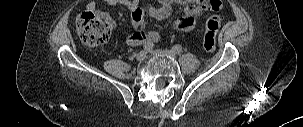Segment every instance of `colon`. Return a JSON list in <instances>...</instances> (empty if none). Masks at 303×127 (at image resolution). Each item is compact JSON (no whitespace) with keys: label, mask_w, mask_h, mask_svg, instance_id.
<instances>
[{"label":"colon","mask_w":303,"mask_h":127,"mask_svg":"<svg viewBox=\"0 0 303 127\" xmlns=\"http://www.w3.org/2000/svg\"><path fill=\"white\" fill-rule=\"evenodd\" d=\"M212 14L205 24V34L203 47L207 52H213L216 49V35L220 27L221 17L217 13L219 10H213ZM77 30L82 42L89 47L98 46L104 43L109 36V28L94 11H85L78 16Z\"/></svg>","instance_id":"5ec220e1"}]
</instances>
